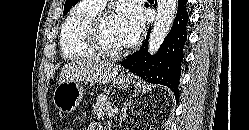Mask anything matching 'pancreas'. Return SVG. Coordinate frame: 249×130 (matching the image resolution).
Wrapping results in <instances>:
<instances>
[{
	"instance_id": "pancreas-1",
	"label": "pancreas",
	"mask_w": 249,
	"mask_h": 130,
	"mask_svg": "<svg viewBox=\"0 0 249 130\" xmlns=\"http://www.w3.org/2000/svg\"><path fill=\"white\" fill-rule=\"evenodd\" d=\"M92 109V113L97 117V119L104 120L108 115V111L112 109V105L110 102L105 100V95L101 94L97 97Z\"/></svg>"
}]
</instances>
